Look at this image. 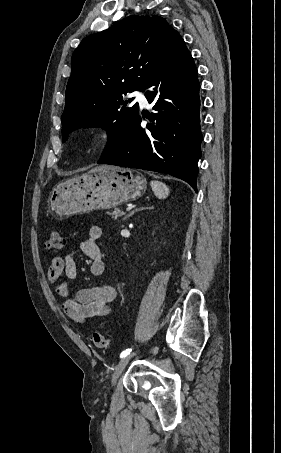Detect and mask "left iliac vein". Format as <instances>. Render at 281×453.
<instances>
[{"label":"left iliac vein","instance_id":"4c4485c4","mask_svg":"<svg viewBox=\"0 0 281 453\" xmlns=\"http://www.w3.org/2000/svg\"><path fill=\"white\" fill-rule=\"evenodd\" d=\"M132 357V355L122 357L120 363H117L116 369L114 370V373L112 374L113 376L111 377L112 379L110 380L112 383L118 378L116 375H119L124 370L126 364H128ZM112 386L115 388L117 385L114 383Z\"/></svg>","mask_w":281,"mask_h":453}]
</instances>
